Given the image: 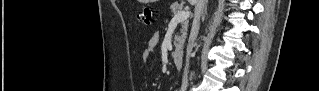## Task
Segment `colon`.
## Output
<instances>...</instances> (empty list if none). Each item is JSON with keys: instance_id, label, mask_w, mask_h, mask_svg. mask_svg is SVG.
Here are the masks:
<instances>
[{"instance_id": "5ec220e1", "label": "colon", "mask_w": 319, "mask_h": 91, "mask_svg": "<svg viewBox=\"0 0 319 91\" xmlns=\"http://www.w3.org/2000/svg\"><path fill=\"white\" fill-rule=\"evenodd\" d=\"M139 19L147 27H151L154 23L153 11L151 8L146 7L139 13Z\"/></svg>"}]
</instances>
